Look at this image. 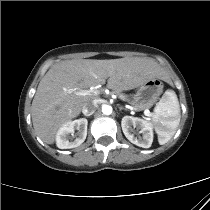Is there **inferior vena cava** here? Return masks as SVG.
I'll list each match as a JSON object with an SVG mask.
<instances>
[{"label": "inferior vena cava", "mask_w": 210, "mask_h": 210, "mask_svg": "<svg viewBox=\"0 0 210 210\" xmlns=\"http://www.w3.org/2000/svg\"><path fill=\"white\" fill-rule=\"evenodd\" d=\"M97 107H98L97 102L95 100H93L91 102L86 103L83 106L82 113L85 116H90L96 111Z\"/></svg>", "instance_id": "inferior-vena-cava-1"}]
</instances>
